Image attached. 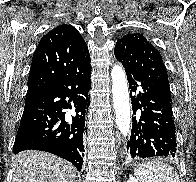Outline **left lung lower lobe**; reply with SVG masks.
<instances>
[{
  "mask_svg": "<svg viewBox=\"0 0 196 182\" xmlns=\"http://www.w3.org/2000/svg\"><path fill=\"white\" fill-rule=\"evenodd\" d=\"M122 65L131 89L133 114L137 115L132 119L131 135L127 142L129 156L175 157L177 143L171 98L141 74L124 63Z\"/></svg>",
  "mask_w": 196,
  "mask_h": 182,
  "instance_id": "1",
  "label": "left lung lower lobe"
}]
</instances>
